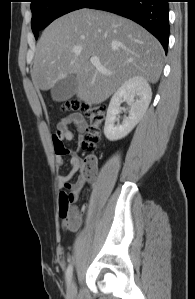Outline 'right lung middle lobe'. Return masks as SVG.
Here are the masks:
<instances>
[{"mask_svg":"<svg viewBox=\"0 0 195 299\" xmlns=\"http://www.w3.org/2000/svg\"><path fill=\"white\" fill-rule=\"evenodd\" d=\"M91 0H32V31L37 38L39 31L56 18L84 8Z\"/></svg>","mask_w":195,"mask_h":299,"instance_id":"dd1d6c3e","label":"right lung middle lobe"}]
</instances>
